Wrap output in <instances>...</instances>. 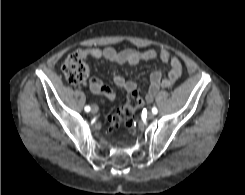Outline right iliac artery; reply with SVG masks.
<instances>
[{
  "mask_svg": "<svg viewBox=\"0 0 245 195\" xmlns=\"http://www.w3.org/2000/svg\"><path fill=\"white\" fill-rule=\"evenodd\" d=\"M84 110H85L86 112H89V111L91 110V108H90V106H86V107L84 108Z\"/></svg>",
  "mask_w": 245,
  "mask_h": 195,
  "instance_id": "right-iliac-artery-1",
  "label": "right iliac artery"
}]
</instances>
